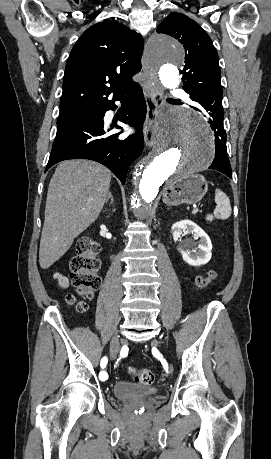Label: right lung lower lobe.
<instances>
[{"label":"right lung lower lobe","instance_id":"1","mask_svg":"<svg viewBox=\"0 0 271 459\" xmlns=\"http://www.w3.org/2000/svg\"><path fill=\"white\" fill-rule=\"evenodd\" d=\"M133 103L120 119L123 123L141 127L146 115V103L139 85L127 93ZM120 98L107 101L100 116L76 119L58 125L56 138L45 172L54 164L67 159H90L108 167L124 184L129 166L142 153L144 140L142 133L118 139L120 133L106 135L104 115L114 110ZM121 128V127H118Z\"/></svg>","mask_w":271,"mask_h":459}]
</instances>
